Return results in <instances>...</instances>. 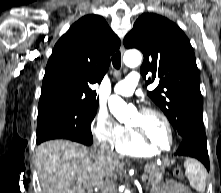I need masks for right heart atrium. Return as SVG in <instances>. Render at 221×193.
<instances>
[{
  "mask_svg": "<svg viewBox=\"0 0 221 193\" xmlns=\"http://www.w3.org/2000/svg\"><path fill=\"white\" fill-rule=\"evenodd\" d=\"M92 132L99 143L114 146L123 138L125 128L108 111L100 109L93 119Z\"/></svg>",
  "mask_w": 221,
  "mask_h": 193,
  "instance_id": "obj_1",
  "label": "right heart atrium"
}]
</instances>
